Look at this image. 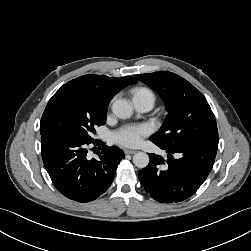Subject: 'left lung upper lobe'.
Masks as SVG:
<instances>
[{"label": "left lung upper lobe", "instance_id": "1", "mask_svg": "<svg viewBox=\"0 0 251 251\" xmlns=\"http://www.w3.org/2000/svg\"><path fill=\"white\" fill-rule=\"evenodd\" d=\"M163 99L168 115L150 140L164 147L196 141H218L216 120L206 98L187 80L172 72L136 75Z\"/></svg>", "mask_w": 251, "mask_h": 251}]
</instances>
